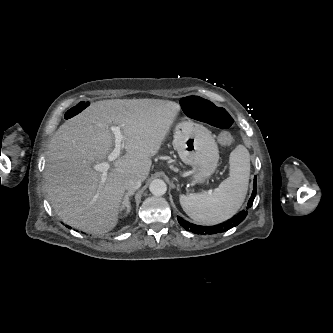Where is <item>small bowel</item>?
<instances>
[{"instance_id":"small-bowel-1","label":"small bowel","mask_w":333,"mask_h":333,"mask_svg":"<svg viewBox=\"0 0 333 333\" xmlns=\"http://www.w3.org/2000/svg\"><path fill=\"white\" fill-rule=\"evenodd\" d=\"M243 143H244V148L247 150L249 148V144L248 141L243 137V136H239L238 137ZM237 136L235 133L224 129L222 131H220L219 135L216 138V143L218 146L220 147H229L231 145H233V143L236 141Z\"/></svg>"}]
</instances>
